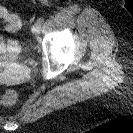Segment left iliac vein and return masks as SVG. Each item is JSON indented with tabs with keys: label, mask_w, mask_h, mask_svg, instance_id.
<instances>
[{
	"label": "left iliac vein",
	"mask_w": 133,
	"mask_h": 133,
	"mask_svg": "<svg viewBox=\"0 0 133 133\" xmlns=\"http://www.w3.org/2000/svg\"><path fill=\"white\" fill-rule=\"evenodd\" d=\"M41 30V24L36 22L33 26H32V32L37 35L40 33Z\"/></svg>",
	"instance_id": "4c4485c4"
}]
</instances>
